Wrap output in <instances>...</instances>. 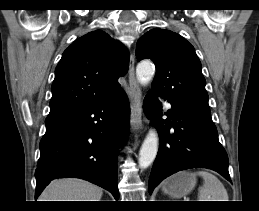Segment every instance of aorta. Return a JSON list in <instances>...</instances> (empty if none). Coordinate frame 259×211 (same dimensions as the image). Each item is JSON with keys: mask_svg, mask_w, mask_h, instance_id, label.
I'll return each mask as SVG.
<instances>
[{"mask_svg": "<svg viewBox=\"0 0 259 211\" xmlns=\"http://www.w3.org/2000/svg\"><path fill=\"white\" fill-rule=\"evenodd\" d=\"M154 73H155V67L150 62H146V61L141 62L138 64L136 68L137 79L142 85L148 84L153 78ZM157 152H158V135L154 129H151L147 134L146 138L144 139L139 152V159H138L139 167L142 169L149 167L155 160Z\"/></svg>", "mask_w": 259, "mask_h": 211, "instance_id": "aorta-1", "label": "aorta"}]
</instances>
